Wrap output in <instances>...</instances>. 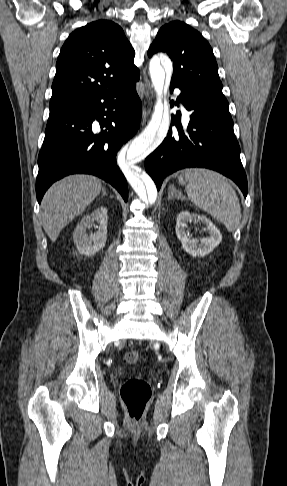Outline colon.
Instances as JSON below:
<instances>
[{"instance_id": "obj_1", "label": "colon", "mask_w": 287, "mask_h": 486, "mask_svg": "<svg viewBox=\"0 0 287 486\" xmlns=\"http://www.w3.org/2000/svg\"><path fill=\"white\" fill-rule=\"evenodd\" d=\"M124 358L128 364H136L140 354L136 350H130ZM120 394L130 420L140 421L151 398L149 383L143 378L131 377L123 383Z\"/></svg>"}]
</instances>
